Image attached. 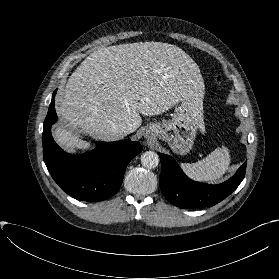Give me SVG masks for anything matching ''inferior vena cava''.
Here are the masks:
<instances>
[{"label": "inferior vena cava", "instance_id": "inferior-vena-cava-1", "mask_svg": "<svg viewBox=\"0 0 279 279\" xmlns=\"http://www.w3.org/2000/svg\"><path fill=\"white\" fill-rule=\"evenodd\" d=\"M133 132L132 126H124L121 128V133L126 136L127 134Z\"/></svg>", "mask_w": 279, "mask_h": 279}]
</instances>
